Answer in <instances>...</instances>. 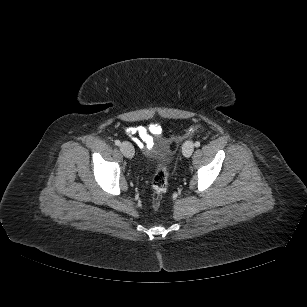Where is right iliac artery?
<instances>
[{
  "mask_svg": "<svg viewBox=\"0 0 307 307\" xmlns=\"http://www.w3.org/2000/svg\"><path fill=\"white\" fill-rule=\"evenodd\" d=\"M115 145L119 146L121 145V142L119 140H115Z\"/></svg>",
  "mask_w": 307,
  "mask_h": 307,
  "instance_id": "right-iliac-artery-1",
  "label": "right iliac artery"
}]
</instances>
